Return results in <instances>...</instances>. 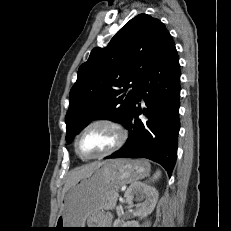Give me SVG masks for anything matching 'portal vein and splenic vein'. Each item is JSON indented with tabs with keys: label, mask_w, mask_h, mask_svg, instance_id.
<instances>
[{
	"label": "portal vein and splenic vein",
	"mask_w": 231,
	"mask_h": 231,
	"mask_svg": "<svg viewBox=\"0 0 231 231\" xmlns=\"http://www.w3.org/2000/svg\"><path fill=\"white\" fill-rule=\"evenodd\" d=\"M115 197H116V199H117V197H118V194H116V196H115Z\"/></svg>",
	"instance_id": "portal-vein-and-splenic-vein-1"
}]
</instances>
